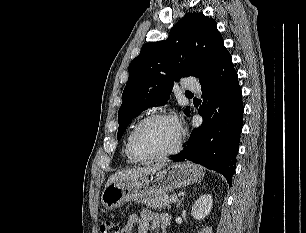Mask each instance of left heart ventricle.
<instances>
[{"mask_svg":"<svg viewBox=\"0 0 306 233\" xmlns=\"http://www.w3.org/2000/svg\"><path fill=\"white\" fill-rule=\"evenodd\" d=\"M178 135L179 128L174 120H155L139 132L135 145L142 154L162 153L175 146Z\"/></svg>","mask_w":306,"mask_h":233,"instance_id":"1","label":"left heart ventricle"}]
</instances>
